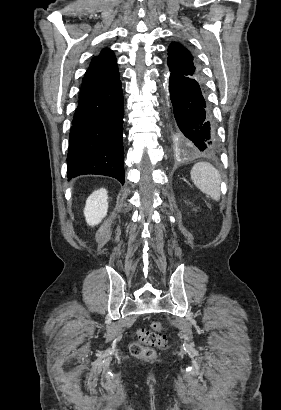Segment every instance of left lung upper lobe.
<instances>
[{
	"label": "left lung upper lobe",
	"instance_id": "obj_1",
	"mask_svg": "<svg viewBox=\"0 0 281 410\" xmlns=\"http://www.w3.org/2000/svg\"><path fill=\"white\" fill-rule=\"evenodd\" d=\"M167 66L169 73L202 79L196 58L178 42H172L168 48Z\"/></svg>",
	"mask_w": 281,
	"mask_h": 410
}]
</instances>
